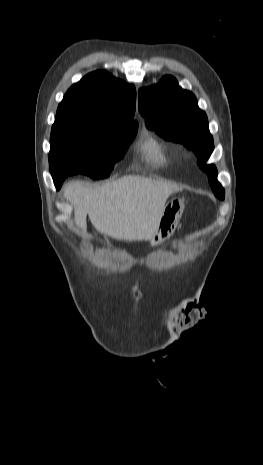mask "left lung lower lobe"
<instances>
[{"label":"left lung lower lobe","mask_w":263,"mask_h":465,"mask_svg":"<svg viewBox=\"0 0 263 465\" xmlns=\"http://www.w3.org/2000/svg\"><path fill=\"white\" fill-rule=\"evenodd\" d=\"M206 161V160H205ZM205 161L199 162L200 167L211 176H217V170L214 165H205Z\"/></svg>","instance_id":"obj_1"}]
</instances>
